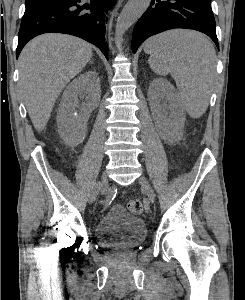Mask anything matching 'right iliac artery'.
Here are the masks:
<instances>
[{"label":"right iliac artery","instance_id":"1","mask_svg":"<svg viewBox=\"0 0 245 300\" xmlns=\"http://www.w3.org/2000/svg\"><path fill=\"white\" fill-rule=\"evenodd\" d=\"M107 191H108V186H103V188L101 190V193L102 194H107Z\"/></svg>","mask_w":245,"mask_h":300}]
</instances>
